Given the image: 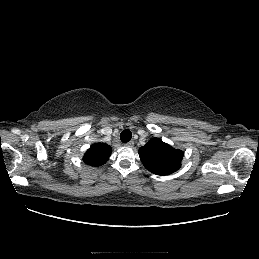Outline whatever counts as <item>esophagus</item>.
<instances>
[{"mask_svg":"<svg viewBox=\"0 0 259 259\" xmlns=\"http://www.w3.org/2000/svg\"><path fill=\"white\" fill-rule=\"evenodd\" d=\"M126 145L129 146V147H133L134 146V141L131 140Z\"/></svg>","mask_w":259,"mask_h":259,"instance_id":"1","label":"esophagus"}]
</instances>
